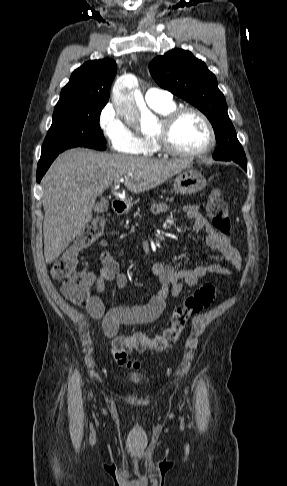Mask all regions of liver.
Returning <instances> with one entry per match:
<instances>
[{
    "label": "liver",
    "instance_id": "obj_1",
    "mask_svg": "<svg viewBox=\"0 0 287 486\" xmlns=\"http://www.w3.org/2000/svg\"><path fill=\"white\" fill-rule=\"evenodd\" d=\"M182 159L156 160L74 148L61 153L42 179L44 256L52 263L92 219L96 198L124 179L133 193L155 188L187 168Z\"/></svg>",
    "mask_w": 287,
    "mask_h": 486
}]
</instances>
